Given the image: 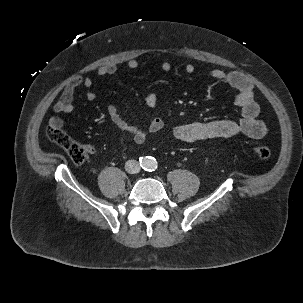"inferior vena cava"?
Returning a JSON list of instances; mask_svg holds the SVG:
<instances>
[{
	"label": "inferior vena cava",
	"instance_id": "1",
	"mask_svg": "<svg viewBox=\"0 0 303 303\" xmlns=\"http://www.w3.org/2000/svg\"><path fill=\"white\" fill-rule=\"evenodd\" d=\"M125 169L130 174H136L140 171V166L136 160H128L125 164Z\"/></svg>",
	"mask_w": 303,
	"mask_h": 303
}]
</instances>
